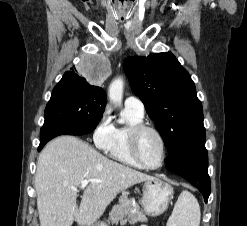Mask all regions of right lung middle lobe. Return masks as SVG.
<instances>
[{"label": "right lung middle lobe", "instance_id": "1", "mask_svg": "<svg viewBox=\"0 0 247 226\" xmlns=\"http://www.w3.org/2000/svg\"><path fill=\"white\" fill-rule=\"evenodd\" d=\"M105 106L106 100L92 90L79 87L70 79L60 80L46 106L44 125L61 124L93 131Z\"/></svg>", "mask_w": 247, "mask_h": 226}]
</instances>
